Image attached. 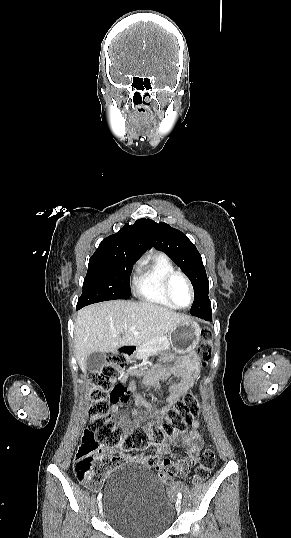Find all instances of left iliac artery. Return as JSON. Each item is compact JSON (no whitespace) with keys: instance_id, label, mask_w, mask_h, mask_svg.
<instances>
[{"instance_id":"obj_1","label":"left iliac artery","mask_w":291,"mask_h":538,"mask_svg":"<svg viewBox=\"0 0 291 538\" xmlns=\"http://www.w3.org/2000/svg\"><path fill=\"white\" fill-rule=\"evenodd\" d=\"M177 496H178V499H179V500L182 499V494H181V492H178V495H177Z\"/></svg>"}]
</instances>
